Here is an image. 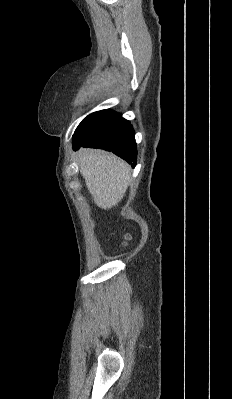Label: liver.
<instances>
[{
  "mask_svg": "<svg viewBox=\"0 0 232 399\" xmlns=\"http://www.w3.org/2000/svg\"><path fill=\"white\" fill-rule=\"evenodd\" d=\"M77 156L80 174L94 203L103 209L117 205L130 184V166L103 150L81 148Z\"/></svg>",
  "mask_w": 232,
  "mask_h": 399,
  "instance_id": "obj_1",
  "label": "liver"
}]
</instances>
